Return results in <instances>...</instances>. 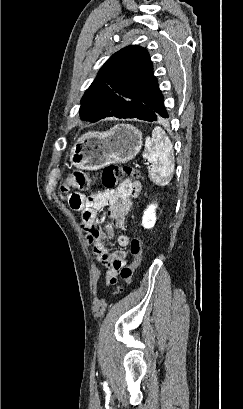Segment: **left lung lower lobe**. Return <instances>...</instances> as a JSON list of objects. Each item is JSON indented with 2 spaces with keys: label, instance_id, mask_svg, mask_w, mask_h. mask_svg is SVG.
<instances>
[{
  "label": "left lung lower lobe",
  "instance_id": "obj_1",
  "mask_svg": "<svg viewBox=\"0 0 243 409\" xmlns=\"http://www.w3.org/2000/svg\"><path fill=\"white\" fill-rule=\"evenodd\" d=\"M124 114H115L113 112L106 113L101 119L105 117L118 118H137L145 121H156L157 118L168 117V113L164 107V98L159 89V86L144 96L140 101L128 104L125 107Z\"/></svg>",
  "mask_w": 243,
  "mask_h": 409
}]
</instances>
